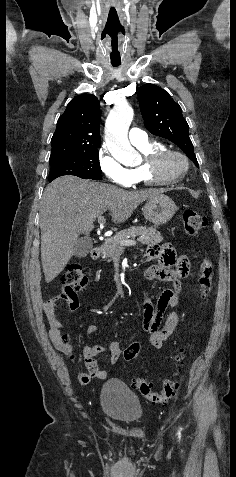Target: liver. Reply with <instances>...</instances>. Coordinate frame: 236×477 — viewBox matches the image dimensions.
<instances>
[{
    "instance_id": "liver-1",
    "label": "liver",
    "mask_w": 236,
    "mask_h": 477,
    "mask_svg": "<svg viewBox=\"0 0 236 477\" xmlns=\"http://www.w3.org/2000/svg\"><path fill=\"white\" fill-rule=\"evenodd\" d=\"M158 189L127 191L100 182L63 176L44 190L40 207L41 261L50 283L65 268L80 234L94 229V220L109 210L116 224L125 222L145 200L162 193Z\"/></svg>"
}]
</instances>
